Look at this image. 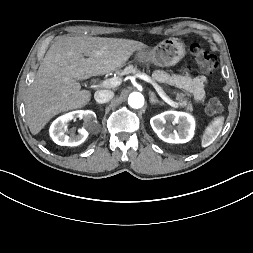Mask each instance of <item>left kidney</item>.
I'll list each match as a JSON object with an SVG mask.
<instances>
[{
    "label": "left kidney",
    "mask_w": 253,
    "mask_h": 253,
    "mask_svg": "<svg viewBox=\"0 0 253 253\" xmlns=\"http://www.w3.org/2000/svg\"><path fill=\"white\" fill-rule=\"evenodd\" d=\"M178 124L173 132L167 124ZM150 124L158 137L167 143H186L194 135V118L185 112L165 111L150 119Z\"/></svg>",
    "instance_id": "1"
}]
</instances>
